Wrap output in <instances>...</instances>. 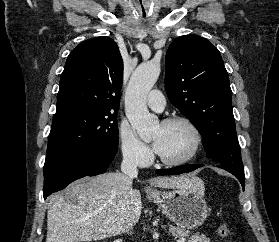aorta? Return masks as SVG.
I'll use <instances>...</instances> for the list:
<instances>
[{
  "label": "aorta",
  "mask_w": 279,
  "mask_h": 242,
  "mask_svg": "<svg viewBox=\"0 0 279 242\" xmlns=\"http://www.w3.org/2000/svg\"><path fill=\"white\" fill-rule=\"evenodd\" d=\"M160 74V65L153 62L140 64L131 76L125 94L126 116L143 141L151 139L158 128V118L150 114L146 97Z\"/></svg>",
  "instance_id": "762f6f07"
}]
</instances>
